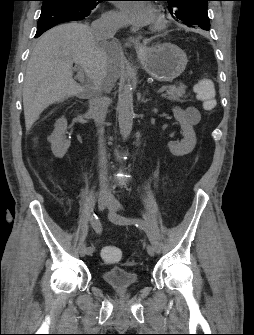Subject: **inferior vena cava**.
Instances as JSON below:
<instances>
[{"instance_id":"1","label":"inferior vena cava","mask_w":254,"mask_h":335,"mask_svg":"<svg viewBox=\"0 0 254 335\" xmlns=\"http://www.w3.org/2000/svg\"><path fill=\"white\" fill-rule=\"evenodd\" d=\"M121 20L112 14H104L99 19L91 24V31L96 40L102 41L113 38L116 32L120 29ZM90 114L99 128V166H100V186L102 190H108L107 179V159L106 150L104 147L103 134L104 127L102 124L105 120L108 98L102 94V88L98 81H94L92 97L89 101Z\"/></svg>"}]
</instances>
